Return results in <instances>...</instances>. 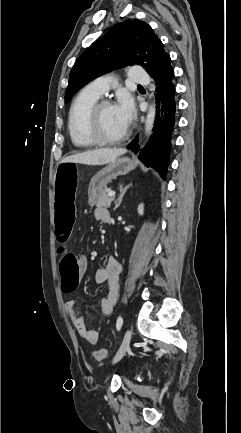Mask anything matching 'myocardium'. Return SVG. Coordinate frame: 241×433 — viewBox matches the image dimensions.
I'll return each mask as SVG.
<instances>
[{"label": "myocardium", "mask_w": 241, "mask_h": 433, "mask_svg": "<svg viewBox=\"0 0 241 433\" xmlns=\"http://www.w3.org/2000/svg\"><path fill=\"white\" fill-rule=\"evenodd\" d=\"M111 105H113V103L108 99L98 100L89 111L86 128L89 136L96 144H101V145L117 144L124 141L129 135L128 128H126V130L120 136L115 138H110L103 134L101 130V124H100L101 113L105 107Z\"/></svg>", "instance_id": "myocardium-1"}]
</instances>
